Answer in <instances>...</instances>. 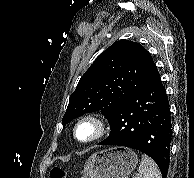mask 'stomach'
I'll return each instance as SVG.
<instances>
[{
  "label": "stomach",
  "mask_w": 194,
  "mask_h": 178,
  "mask_svg": "<svg viewBox=\"0 0 194 178\" xmlns=\"http://www.w3.org/2000/svg\"><path fill=\"white\" fill-rule=\"evenodd\" d=\"M138 164L137 154L128 148L98 151L86 161L82 178H127Z\"/></svg>",
  "instance_id": "0dacf381"
}]
</instances>
